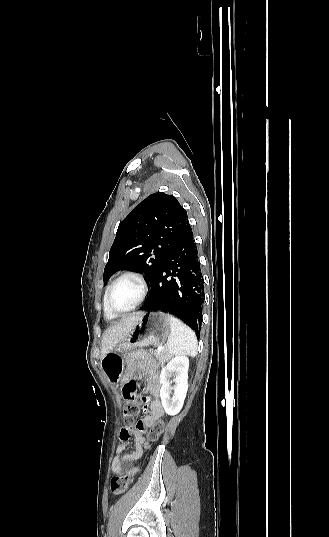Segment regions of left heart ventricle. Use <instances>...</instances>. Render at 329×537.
<instances>
[{"label": "left heart ventricle", "instance_id": "1", "mask_svg": "<svg viewBox=\"0 0 329 537\" xmlns=\"http://www.w3.org/2000/svg\"><path fill=\"white\" fill-rule=\"evenodd\" d=\"M141 296V286L134 278L122 279L114 288L111 304L118 311L131 308Z\"/></svg>", "mask_w": 329, "mask_h": 537}]
</instances>
